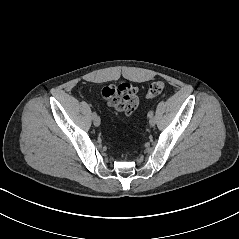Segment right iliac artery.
I'll return each mask as SVG.
<instances>
[{
    "instance_id": "82829eb1",
    "label": "right iliac artery",
    "mask_w": 239,
    "mask_h": 239,
    "mask_svg": "<svg viewBox=\"0 0 239 239\" xmlns=\"http://www.w3.org/2000/svg\"><path fill=\"white\" fill-rule=\"evenodd\" d=\"M92 116H93V118L96 117V116H97V113L94 111V112L92 113Z\"/></svg>"
}]
</instances>
